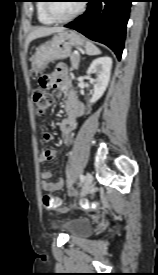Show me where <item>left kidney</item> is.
Listing matches in <instances>:
<instances>
[{
    "mask_svg": "<svg viewBox=\"0 0 158 275\" xmlns=\"http://www.w3.org/2000/svg\"><path fill=\"white\" fill-rule=\"evenodd\" d=\"M112 68V59L108 56H103L95 59L87 70V74H96L97 79H91L93 84V94L90 103H95L104 94L110 79Z\"/></svg>",
    "mask_w": 158,
    "mask_h": 275,
    "instance_id": "5707ae66",
    "label": "left kidney"
}]
</instances>
